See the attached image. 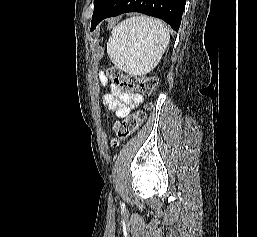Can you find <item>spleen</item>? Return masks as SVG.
Wrapping results in <instances>:
<instances>
[{
    "mask_svg": "<svg viewBox=\"0 0 257 237\" xmlns=\"http://www.w3.org/2000/svg\"><path fill=\"white\" fill-rule=\"evenodd\" d=\"M169 40V29L161 21L131 17L113 28L107 53L112 63L126 73L144 75L157 65Z\"/></svg>",
    "mask_w": 257,
    "mask_h": 237,
    "instance_id": "spleen-1",
    "label": "spleen"
}]
</instances>
